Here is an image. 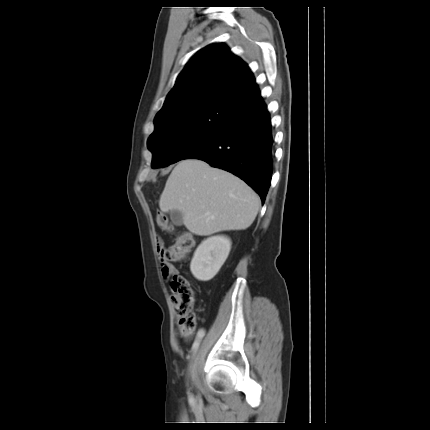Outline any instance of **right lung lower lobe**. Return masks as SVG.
<instances>
[{
	"mask_svg": "<svg viewBox=\"0 0 430 430\" xmlns=\"http://www.w3.org/2000/svg\"><path fill=\"white\" fill-rule=\"evenodd\" d=\"M273 142L269 112L260 96L185 159H200L235 174L259 194L263 204L273 172Z\"/></svg>",
	"mask_w": 430,
	"mask_h": 430,
	"instance_id": "98d812e1",
	"label": "right lung lower lobe"
}]
</instances>
